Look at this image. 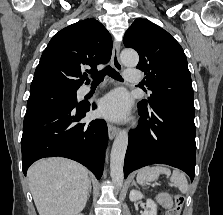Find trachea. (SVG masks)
<instances>
[{
	"label": "trachea",
	"instance_id": "trachea-1",
	"mask_svg": "<svg viewBox=\"0 0 223 215\" xmlns=\"http://www.w3.org/2000/svg\"><path fill=\"white\" fill-rule=\"evenodd\" d=\"M105 75H109V77L114 78L118 81H124L121 77V75L114 70V68H111L110 66H106L104 70H101L100 72H96L92 75L93 82L92 83H100L103 81Z\"/></svg>",
	"mask_w": 223,
	"mask_h": 215
}]
</instances>
